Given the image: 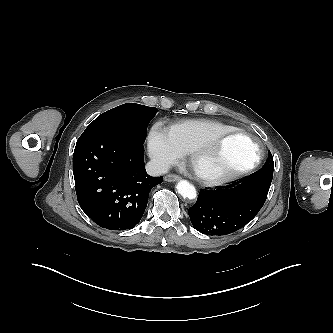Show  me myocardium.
Wrapping results in <instances>:
<instances>
[{"mask_svg": "<svg viewBox=\"0 0 333 333\" xmlns=\"http://www.w3.org/2000/svg\"><path fill=\"white\" fill-rule=\"evenodd\" d=\"M231 136H243L246 139H248L255 147L256 149V154L254 159L248 163L247 165H244L242 167L234 168L222 173H217V174H205L200 172L196 164L197 162L205 157L210 155L215 151V149L220 145V143ZM262 158V150L259 142L252 137L249 133L242 129L238 128H233L231 130L225 131L223 133L217 134L210 138L208 141L204 142L203 144L195 147L193 150L189 152V162L190 166L193 170V173L195 177L202 182L205 185L208 186H216V185H221L225 184L227 182H230L248 172L253 170L261 161Z\"/></svg>", "mask_w": 333, "mask_h": 333, "instance_id": "f54148a6", "label": "myocardium"}]
</instances>
